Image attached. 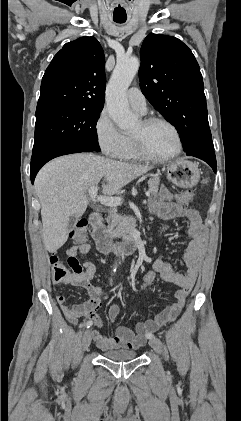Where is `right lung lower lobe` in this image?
Returning <instances> with one entry per match:
<instances>
[{
	"label": "right lung lower lobe",
	"mask_w": 241,
	"mask_h": 421,
	"mask_svg": "<svg viewBox=\"0 0 241 421\" xmlns=\"http://www.w3.org/2000/svg\"><path fill=\"white\" fill-rule=\"evenodd\" d=\"M94 151L92 148L81 146V145H67L56 147L52 149L45 150L43 152L32 154L31 157V164H30V178L31 182H34L35 176L40 170V168L50 161L51 159L72 153H80V152H91Z\"/></svg>",
	"instance_id": "98d812e1"
}]
</instances>
